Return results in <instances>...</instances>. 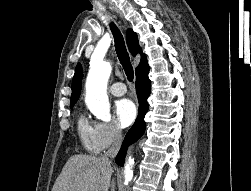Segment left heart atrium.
I'll return each mask as SVG.
<instances>
[{
    "label": "left heart atrium",
    "instance_id": "obj_1",
    "mask_svg": "<svg viewBox=\"0 0 251 191\" xmlns=\"http://www.w3.org/2000/svg\"><path fill=\"white\" fill-rule=\"evenodd\" d=\"M136 106L129 99L119 100L115 105V118L119 127L129 126L136 117Z\"/></svg>",
    "mask_w": 251,
    "mask_h": 191
}]
</instances>
